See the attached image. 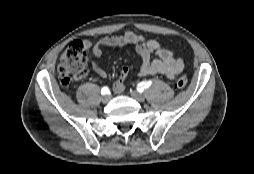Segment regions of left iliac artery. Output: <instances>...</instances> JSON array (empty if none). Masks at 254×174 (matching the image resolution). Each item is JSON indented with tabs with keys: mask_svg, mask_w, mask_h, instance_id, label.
Instances as JSON below:
<instances>
[{
	"mask_svg": "<svg viewBox=\"0 0 254 174\" xmlns=\"http://www.w3.org/2000/svg\"><path fill=\"white\" fill-rule=\"evenodd\" d=\"M151 84H152V81H150V80L149 81L141 82V83L138 84L137 90L139 92H142L144 89L149 88Z\"/></svg>",
	"mask_w": 254,
	"mask_h": 174,
	"instance_id": "1",
	"label": "left iliac artery"
}]
</instances>
